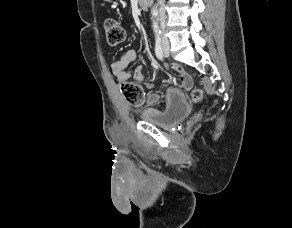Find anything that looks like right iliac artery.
<instances>
[{
	"label": "right iliac artery",
	"instance_id": "82829eb1",
	"mask_svg": "<svg viewBox=\"0 0 292 228\" xmlns=\"http://www.w3.org/2000/svg\"><path fill=\"white\" fill-rule=\"evenodd\" d=\"M155 54L159 60L164 59V54L161 47V39L159 36H156Z\"/></svg>",
	"mask_w": 292,
	"mask_h": 228
}]
</instances>
